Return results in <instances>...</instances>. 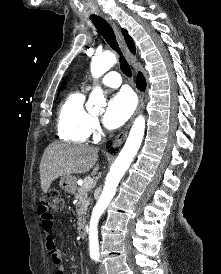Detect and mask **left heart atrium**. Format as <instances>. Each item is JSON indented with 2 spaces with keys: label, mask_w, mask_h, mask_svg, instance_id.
<instances>
[{
  "label": "left heart atrium",
  "mask_w": 221,
  "mask_h": 274,
  "mask_svg": "<svg viewBox=\"0 0 221 274\" xmlns=\"http://www.w3.org/2000/svg\"><path fill=\"white\" fill-rule=\"evenodd\" d=\"M135 98L128 91H121L114 95L108 102L103 123L109 129L123 125L135 109Z\"/></svg>",
  "instance_id": "1"
}]
</instances>
